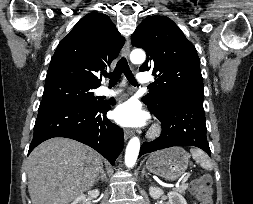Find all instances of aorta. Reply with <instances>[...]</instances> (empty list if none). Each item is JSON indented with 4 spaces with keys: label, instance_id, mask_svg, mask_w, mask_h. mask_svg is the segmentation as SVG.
Masks as SVG:
<instances>
[{
    "label": "aorta",
    "instance_id": "762f6f07",
    "mask_svg": "<svg viewBox=\"0 0 253 204\" xmlns=\"http://www.w3.org/2000/svg\"><path fill=\"white\" fill-rule=\"evenodd\" d=\"M145 52L141 49H135L130 54V59L134 64H141L145 61ZM140 150V140L138 137H133L126 148L125 164L127 167H133L136 163Z\"/></svg>",
    "mask_w": 253,
    "mask_h": 204
}]
</instances>
